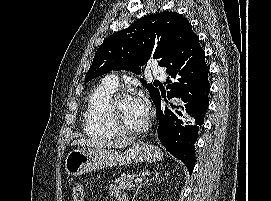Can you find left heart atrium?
Instances as JSON below:
<instances>
[{"label":"left heart atrium","mask_w":271,"mask_h":201,"mask_svg":"<svg viewBox=\"0 0 271 201\" xmlns=\"http://www.w3.org/2000/svg\"><path fill=\"white\" fill-rule=\"evenodd\" d=\"M137 112L144 118L148 116L149 104L143 97L132 98Z\"/></svg>","instance_id":"left-heart-atrium-1"}]
</instances>
